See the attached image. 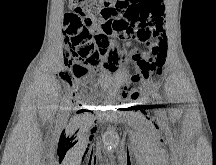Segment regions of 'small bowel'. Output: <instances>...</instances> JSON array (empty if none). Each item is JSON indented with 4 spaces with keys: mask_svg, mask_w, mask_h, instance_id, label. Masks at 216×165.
<instances>
[{
    "mask_svg": "<svg viewBox=\"0 0 216 165\" xmlns=\"http://www.w3.org/2000/svg\"><path fill=\"white\" fill-rule=\"evenodd\" d=\"M164 6L163 0H136L131 5H117L115 10L101 8V19L99 27L103 34L112 40L108 63L114 66L119 61L121 54L115 41H142L141 32L150 24L163 23ZM70 70V74H64L63 80L66 82L69 90L77 94V82L88 75V69L80 64L65 63ZM143 75H137L133 78L135 88L127 96L132 99L138 97L143 85ZM88 94L95 92L94 87L88 88Z\"/></svg>",
    "mask_w": 216,
    "mask_h": 165,
    "instance_id": "obj_1",
    "label": "small bowel"
}]
</instances>
